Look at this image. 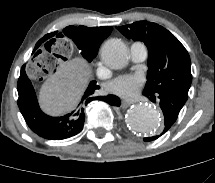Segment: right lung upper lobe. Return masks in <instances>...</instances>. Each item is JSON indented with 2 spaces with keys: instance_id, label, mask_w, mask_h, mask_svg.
I'll return each instance as SVG.
<instances>
[{
  "instance_id": "right-lung-upper-lobe-1",
  "label": "right lung upper lobe",
  "mask_w": 215,
  "mask_h": 183,
  "mask_svg": "<svg viewBox=\"0 0 215 183\" xmlns=\"http://www.w3.org/2000/svg\"><path fill=\"white\" fill-rule=\"evenodd\" d=\"M70 29V27H68L67 29H64L63 34L68 36V30ZM84 31L86 33V40H87V44L90 47H96V49H99L100 44L102 43V41L107 38L111 31H112V27H95V28H87L84 27ZM56 34V32L48 34L47 36H45L42 40H40L37 44L34 50H36L40 45L39 43L41 41H45L51 37H53ZM58 36L62 37V34H58ZM55 39H51L49 40L46 44L50 43L51 41H53Z\"/></svg>"
}]
</instances>
